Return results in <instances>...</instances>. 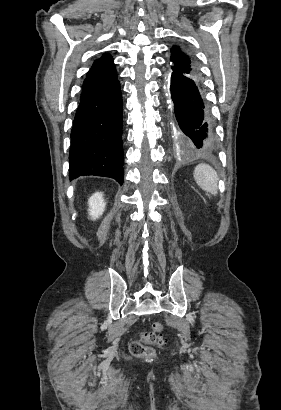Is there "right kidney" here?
<instances>
[{"label": "right kidney", "instance_id": "obj_1", "mask_svg": "<svg viewBox=\"0 0 281 410\" xmlns=\"http://www.w3.org/2000/svg\"><path fill=\"white\" fill-rule=\"evenodd\" d=\"M88 204L89 215L93 220H96L103 214L106 203L104 202L103 194L101 192L94 193L88 200Z\"/></svg>", "mask_w": 281, "mask_h": 410}]
</instances>
